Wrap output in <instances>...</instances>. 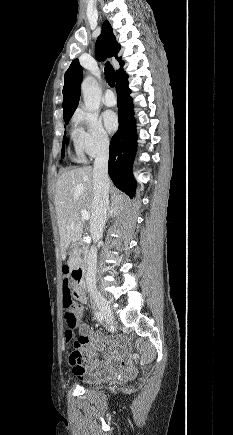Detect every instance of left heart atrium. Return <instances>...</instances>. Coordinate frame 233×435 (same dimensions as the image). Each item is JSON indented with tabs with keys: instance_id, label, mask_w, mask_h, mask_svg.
<instances>
[{
	"instance_id": "obj_1",
	"label": "left heart atrium",
	"mask_w": 233,
	"mask_h": 435,
	"mask_svg": "<svg viewBox=\"0 0 233 435\" xmlns=\"http://www.w3.org/2000/svg\"><path fill=\"white\" fill-rule=\"evenodd\" d=\"M103 121L109 131H114L117 128V115L113 111H105L103 113Z\"/></svg>"
}]
</instances>
